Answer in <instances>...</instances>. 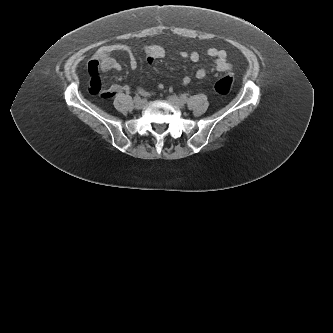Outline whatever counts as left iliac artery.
Masks as SVG:
<instances>
[{"instance_id": "44dca946", "label": "left iliac artery", "mask_w": 333, "mask_h": 333, "mask_svg": "<svg viewBox=\"0 0 333 333\" xmlns=\"http://www.w3.org/2000/svg\"><path fill=\"white\" fill-rule=\"evenodd\" d=\"M181 99H182L183 101H186V100H187V95H186V94H181Z\"/></svg>"}]
</instances>
